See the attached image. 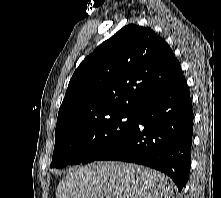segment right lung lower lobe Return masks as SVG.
Wrapping results in <instances>:
<instances>
[{
	"instance_id": "right-lung-lower-lobe-1",
	"label": "right lung lower lobe",
	"mask_w": 221,
	"mask_h": 198,
	"mask_svg": "<svg viewBox=\"0 0 221 198\" xmlns=\"http://www.w3.org/2000/svg\"><path fill=\"white\" fill-rule=\"evenodd\" d=\"M193 110L182 76L153 97L136 115L131 131L96 160L146 165L166 173L179 192L188 181L193 135Z\"/></svg>"
}]
</instances>
